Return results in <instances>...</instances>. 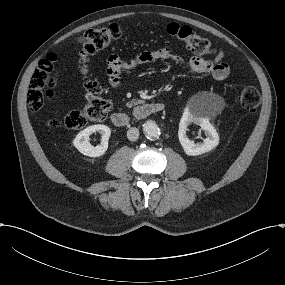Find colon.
<instances>
[{
  "instance_id": "5ec220e1",
  "label": "colon",
  "mask_w": 285,
  "mask_h": 285,
  "mask_svg": "<svg viewBox=\"0 0 285 285\" xmlns=\"http://www.w3.org/2000/svg\"><path fill=\"white\" fill-rule=\"evenodd\" d=\"M169 36L184 42L187 47L198 55H216L210 41L189 26L170 23L166 27ZM121 36V28L117 24L87 30L80 39L79 60L82 73H86V62L89 56L108 47ZM55 55L43 59L35 70L28 91L29 108L37 112L45 101L53 96L56 82L54 74ZM86 102L80 109L69 112L62 118L53 117L48 121L51 127H67L80 129L91 122H100L111 110V104L102 95V88L96 81L89 80L85 84ZM260 93L255 87L244 88L239 96L240 105L246 110H254L260 104Z\"/></svg>"
}]
</instances>
